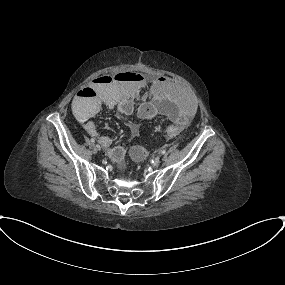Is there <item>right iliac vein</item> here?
<instances>
[{
	"mask_svg": "<svg viewBox=\"0 0 285 285\" xmlns=\"http://www.w3.org/2000/svg\"><path fill=\"white\" fill-rule=\"evenodd\" d=\"M95 149L97 150V151H100L101 150V145L100 144H95Z\"/></svg>",
	"mask_w": 285,
	"mask_h": 285,
	"instance_id": "1",
	"label": "right iliac vein"
}]
</instances>
